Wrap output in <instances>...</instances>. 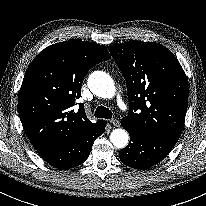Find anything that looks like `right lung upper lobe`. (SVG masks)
Masks as SVG:
<instances>
[{
  "instance_id": "right-lung-upper-lobe-1",
  "label": "right lung upper lobe",
  "mask_w": 206,
  "mask_h": 206,
  "mask_svg": "<svg viewBox=\"0 0 206 206\" xmlns=\"http://www.w3.org/2000/svg\"><path fill=\"white\" fill-rule=\"evenodd\" d=\"M110 59L104 45L68 40L41 51L26 70L18 110L23 127L37 151L68 143L97 123L86 116L81 97L86 73Z\"/></svg>"
}]
</instances>
